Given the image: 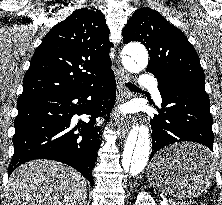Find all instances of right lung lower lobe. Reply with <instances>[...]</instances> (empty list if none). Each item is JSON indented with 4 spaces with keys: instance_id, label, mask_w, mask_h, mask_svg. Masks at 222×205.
I'll return each instance as SVG.
<instances>
[{
    "instance_id": "98d812e1",
    "label": "right lung lower lobe",
    "mask_w": 222,
    "mask_h": 205,
    "mask_svg": "<svg viewBox=\"0 0 222 205\" xmlns=\"http://www.w3.org/2000/svg\"><path fill=\"white\" fill-rule=\"evenodd\" d=\"M75 99L77 103L72 102ZM115 99L113 72L66 94L18 99L8 175L27 161L51 159L70 165L93 184L92 170L102 140V129L94 127L95 118L106 115ZM74 114L89 115L91 121L74 126Z\"/></svg>"
}]
</instances>
